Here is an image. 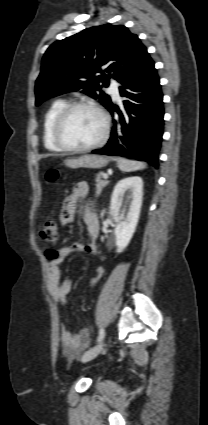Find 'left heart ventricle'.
Instances as JSON below:
<instances>
[{
	"label": "left heart ventricle",
	"instance_id": "b2bd125f",
	"mask_svg": "<svg viewBox=\"0 0 208 425\" xmlns=\"http://www.w3.org/2000/svg\"><path fill=\"white\" fill-rule=\"evenodd\" d=\"M102 130L103 123L96 112L79 108L74 110L67 119L62 138L69 145L83 147L97 141Z\"/></svg>",
	"mask_w": 208,
	"mask_h": 425
}]
</instances>
